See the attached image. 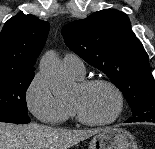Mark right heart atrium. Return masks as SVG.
I'll use <instances>...</instances> for the list:
<instances>
[{"label": "right heart atrium", "mask_w": 155, "mask_h": 149, "mask_svg": "<svg viewBox=\"0 0 155 149\" xmlns=\"http://www.w3.org/2000/svg\"><path fill=\"white\" fill-rule=\"evenodd\" d=\"M25 100L29 111L42 123L60 125L68 118V104L52 93L41 72L36 73L29 82Z\"/></svg>", "instance_id": "d8ad5b80"}]
</instances>
